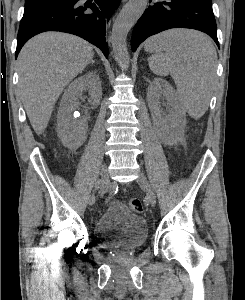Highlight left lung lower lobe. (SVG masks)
I'll use <instances>...</instances> for the list:
<instances>
[{
  "instance_id": "left-lung-lower-lobe-1",
  "label": "left lung lower lobe",
  "mask_w": 245,
  "mask_h": 300,
  "mask_svg": "<svg viewBox=\"0 0 245 300\" xmlns=\"http://www.w3.org/2000/svg\"><path fill=\"white\" fill-rule=\"evenodd\" d=\"M150 5L136 23L132 51L149 36L171 28H190L208 34L218 45L211 0H149Z\"/></svg>"
}]
</instances>
